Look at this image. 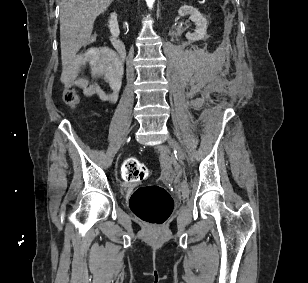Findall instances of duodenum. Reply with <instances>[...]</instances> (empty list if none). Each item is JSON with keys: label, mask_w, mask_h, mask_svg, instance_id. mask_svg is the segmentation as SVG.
<instances>
[{"label": "duodenum", "mask_w": 308, "mask_h": 283, "mask_svg": "<svg viewBox=\"0 0 308 283\" xmlns=\"http://www.w3.org/2000/svg\"><path fill=\"white\" fill-rule=\"evenodd\" d=\"M111 42H112L115 50L117 51L119 57L121 59H124V57L126 56V46H125V43L123 42V40L120 37H118L117 35L112 34L111 35ZM119 62H120V60H119ZM120 64H121V62H120Z\"/></svg>", "instance_id": "duodenum-1"}]
</instances>
